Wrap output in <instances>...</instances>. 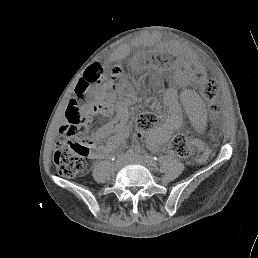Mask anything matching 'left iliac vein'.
<instances>
[{"mask_svg":"<svg viewBox=\"0 0 258 258\" xmlns=\"http://www.w3.org/2000/svg\"><path fill=\"white\" fill-rule=\"evenodd\" d=\"M135 161H136V162H139V163H141V164L144 163V160H143L141 157H139V156H137V157L135 158Z\"/></svg>","mask_w":258,"mask_h":258,"instance_id":"1","label":"left iliac vein"}]
</instances>
